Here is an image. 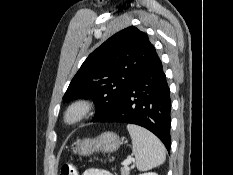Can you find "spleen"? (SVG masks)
I'll return each mask as SVG.
<instances>
[{"label":"spleen","mask_w":233,"mask_h":175,"mask_svg":"<svg viewBox=\"0 0 233 175\" xmlns=\"http://www.w3.org/2000/svg\"><path fill=\"white\" fill-rule=\"evenodd\" d=\"M127 129L132 139V152L138 170H150L164 163L165 147L154 134L134 124H128Z\"/></svg>","instance_id":"spleen-1"}]
</instances>
